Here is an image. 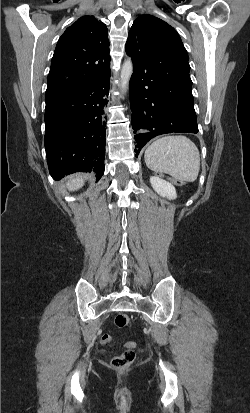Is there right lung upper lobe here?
<instances>
[{
  "label": "right lung upper lobe",
  "mask_w": 250,
  "mask_h": 413,
  "mask_svg": "<svg viewBox=\"0 0 250 413\" xmlns=\"http://www.w3.org/2000/svg\"><path fill=\"white\" fill-rule=\"evenodd\" d=\"M107 35L106 25L93 16H83L68 27L57 43L46 93L86 84L110 70Z\"/></svg>",
  "instance_id": "obj_1"
}]
</instances>
